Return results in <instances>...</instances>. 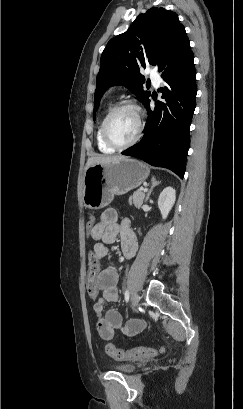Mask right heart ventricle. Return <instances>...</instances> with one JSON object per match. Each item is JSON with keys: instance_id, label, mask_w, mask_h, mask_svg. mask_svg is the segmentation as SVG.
<instances>
[{"instance_id": "1", "label": "right heart ventricle", "mask_w": 243, "mask_h": 409, "mask_svg": "<svg viewBox=\"0 0 243 409\" xmlns=\"http://www.w3.org/2000/svg\"><path fill=\"white\" fill-rule=\"evenodd\" d=\"M108 111H109V109H107L106 112L104 113V115H103V117H102V119H101V121H100V123L98 125L97 131H96L97 147H98L100 152L105 153V154H111V153L115 152L114 148L110 147L109 145H107L105 143V141L103 139V136H102V125H103L104 118L106 117Z\"/></svg>"}]
</instances>
